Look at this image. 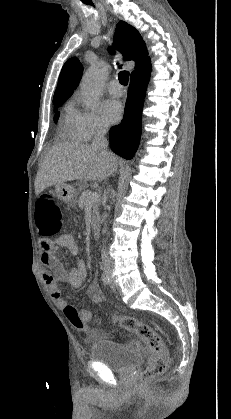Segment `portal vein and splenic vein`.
<instances>
[{
    "mask_svg": "<svg viewBox=\"0 0 231 419\" xmlns=\"http://www.w3.org/2000/svg\"><path fill=\"white\" fill-rule=\"evenodd\" d=\"M99 197L97 192H90L87 194V199L89 203H92L94 200H96Z\"/></svg>",
    "mask_w": 231,
    "mask_h": 419,
    "instance_id": "obj_1",
    "label": "portal vein and splenic vein"
}]
</instances>
